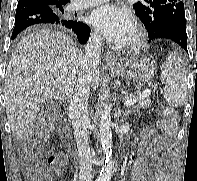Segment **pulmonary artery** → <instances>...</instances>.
Here are the masks:
<instances>
[{
  "label": "pulmonary artery",
  "mask_w": 197,
  "mask_h": 181,
  "mask_svg": "<svg viewBox=\"0 0 197 181\" xmlns=\"http://www.w3.org/2000/svg\"><path fill=\"white\" fill-rule=\"evenodd\" d=\"M108 0H78L74 6L73 9L78 10V9H84L90 6L98 5L103 2H106Z\"/></svg>",
  "instance_id": "e3ab8cb5"
}]
</instances>
